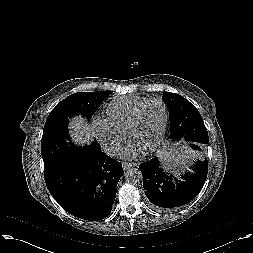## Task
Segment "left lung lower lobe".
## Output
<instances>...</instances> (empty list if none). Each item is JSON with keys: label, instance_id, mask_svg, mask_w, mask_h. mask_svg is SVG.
<instances>
[{"label": "left lung lower lobe", "instance_id": "1", "mask_svg": "<svg viewBox=\"0 0 253 253\" xmlns=\"http://www.w3.org/2000/svg\"><path fill=\"white\" fill-rule=\"evenodd\" d=\"M191 148L200 160L192 167L193 172L186 173L181 180L164 171L158 157L139 165L145 194L154 207L170 210L184 206L202 189L208 174V162L203 157L201 144L191 142Z\"/></svg>", "mask_w": 253, "mask_h": 253}]
</instances>
